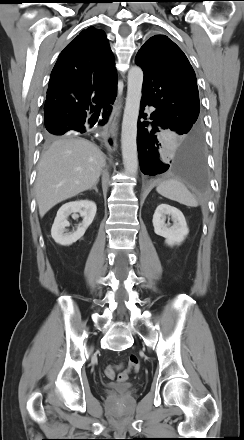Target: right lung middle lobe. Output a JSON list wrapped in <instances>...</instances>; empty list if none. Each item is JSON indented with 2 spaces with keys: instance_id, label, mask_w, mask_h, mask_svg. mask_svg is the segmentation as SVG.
Returning <instances> with one entry per match:
<instances>
[{
  "instance_id": "dd1d6c3e",
  "label": "right lung middle lobe",
  "mask_w": 244,
  "mask_h": 440,
  "mask_svg": "<svg viewBox=\"0 0 244 440\" xmlns=\"http://www.w3.org/2000/svg\"><path fill=\"white\" fill-rule=\"evenodd\" d=\"M52 135H54L53 132L47 130V132H46L47 138H50Z\"/></svg>"
}]
</instances>
